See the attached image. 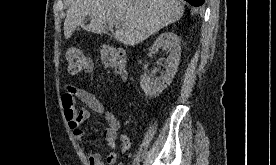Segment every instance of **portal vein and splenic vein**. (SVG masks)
<instances>
[{"label": "portal vein and splenic vein", "instance_id": "obj_1", "mask_svg": "<svg viewBox=\"0 0 276 165\" xmlns=\"http://www.w3.org/2000/svg\"><path fill=\"white\" fill-rule=\"evenodd\" d=\"M113 24H114V25H117V23H110L111 26H112Z\"/></svg>", "mask_w": 276, "mask_h": 165}]
</instances>
